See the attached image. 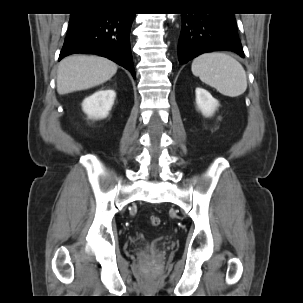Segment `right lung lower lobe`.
I'll use <instances>...</instances> for the list:
<instances>
[{
	"label": "right lung lower lobe",
	"instance_id": "1",
	"mask_svg": "<svg viewBox=\"0 0 303 303\" xmlns=\"http://www.w3.org/2000/svg\"><path fill=\"white\" fill-rule=\"evenodd\" d=\"M134 17V13L97 8L71 14L59 60L76 53L97 54L123 66L135 77L129 38Z\"/></svg>",
	"mask_w": 303,
	"mask_h": 303
}]
</instances>
